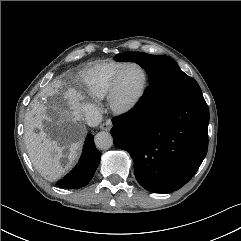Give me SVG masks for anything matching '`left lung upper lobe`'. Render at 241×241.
<instances>
[{
    "instance_id": "1",
    "label": "left lung upper lobe",
    "mask_w": 241,
    "mask_h": 241,
    "mask_svg": "<svg viewBox=\"0 0 241 241\" xmlns=\"http://www.w3.org/2000/svg\"><path fill=\"white\" fill-rule=\"evenodd\" d=\"M117 61L136 62L149 75V84L160 81L169 91L171 99L179 100L184 97L201 93L198 83L185 74L174 60L163 55H150L141 52H124L116 55Z\"/></svg>"
}]
</instances>
